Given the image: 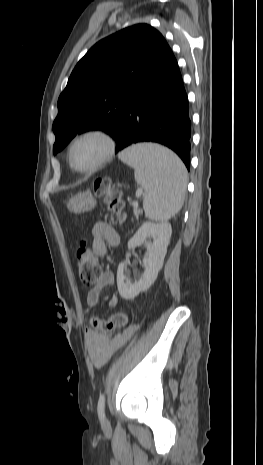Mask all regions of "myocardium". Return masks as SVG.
Listing matches in <instances>:
<instances>
[{"label": "myocardium", "instance_id": "obj_1", "mask_svg": "<svg viewBox=\"0 0 263 465\" xmlns=\"http://www.w3.org/2000/svg\"><path fill=\"white\" fill-rule=\"evenodd\" d=\"M90 136L101 138L105 142L106 149L102 157L93 166L86 168V169H79L75 167L73 164L72 149L78 141L86 137H90ZM115 150H116V141L113 135L109 131L102 129V128H89L77 134L70 141L68 145V149H67L68 163L75 172H78L81 174L94 173L98 171L99 169H101L105 164H107L114 157Z\"/></svg>", "mask_w": 263, "mask_h": 465}]
</instances>
